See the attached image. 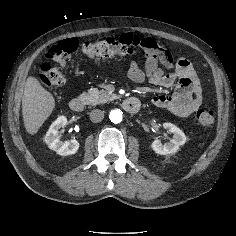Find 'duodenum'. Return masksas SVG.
<instances>
[{
	"instance_id": "410a0bca",
	"label": "duodenum",
	"mask_w": 236,
	"mask_h": 236,
	"mask_svg": "<svg viewBox=\"0 0 236 236\" xmlns=\"http://www.w3.org/2000/svg\"><path fill=\"white\" fill-rule=\"evenodd\" d=\"M69 107L74 112H82L85 108V102L81 98H73ZM122 107L128 113H136L140 109V101L135 97H129L123 101Z\"/></svg>"
}]
</instances>
